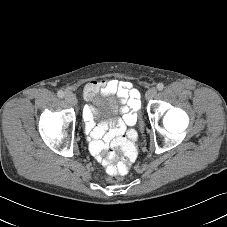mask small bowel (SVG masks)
Listing matches in <instances>:
<instances>
[{
	"mask_svg": "<svg viewBox=\"0 0 227 227\" xmlns=\"http://www.w3.org/2000/svg\"><path fill=\"white\" fill-rule=\"evenodd\" d=\"M98 93L118 97L122 118L115 121L117 127L115 132L106 134L110 122L95 126L94 119L97 116V110L93 105L86 106L83 110V117L85 130L90 140V150L98 160L106 165L102 157L103 152L112 147H121L127 161H132L135 156L134 150L123 135L126 128L133 126L137 121L135 111L140 107V93L131 82L115 79L91 81L83 88V95L87 101H94ZM123 164H126V162H120L118 166Z\"/></svg>",
	"mask_w": 227,
	"mask_h": 227,
	"instance_id": "c3829d8e",
	"label": "small bowel"
}]
</instances>
